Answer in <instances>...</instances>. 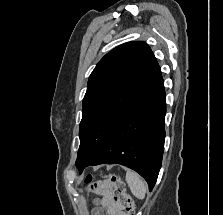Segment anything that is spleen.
I'll return each mask as SVG.
<instances>
[{
    "mask_svg": "<svg viewBox=\"0 0 223 215\" xmlns=\"http://www.w3.org/2000/svg\"><path fill=\"white\" fill-rule=\"evenodd\" d=\"M126 181L135 197H138V199H143V197H145L147 185L144 183L143 179H140L138 173L128 169L126 173Z\"/></svg>",
    "mask_w": 223,
    "mask_h": 215,
    "instance_id": "spleen-1",
    "label": "spleen"
}]
</instances>
